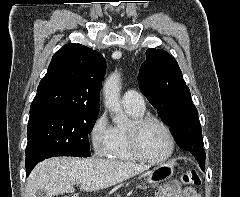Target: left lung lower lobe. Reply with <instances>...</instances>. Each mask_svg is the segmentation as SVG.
I'll return each instance as SVG.
<instances>
[{
    "label": "left lung lower lobe",
    "instance_id": "obj_1",
    "mask_svg": "<svg viewBox=\"0 0 240 197\" xmlns=\"http://www.w3.org/2000/svg\"><path fill=\"white\" fill-rule=\"evenodd\" d=\"M201 169L204 171L205 170V161L198 162Z\"/></svg>",
    "mask_w": 240,
    "mask_h": 197
}]
</instances>
